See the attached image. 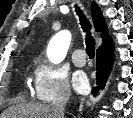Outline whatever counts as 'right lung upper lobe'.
Returning a JSON list of instances; mask_svg holds the SVG:
<instances>
[{
    "mask_svg": "<svg viewBox=\"0 0 133 118\" xmlns=\"http://www.w3.org/2000/svg\"><path fill=\"white\" fill-rule=\"evenodd\" d=\"M91 15H92L95 30L97 32L101 31V37L103 39L102 45L111 41V37L107 34L108 30L104 22V18L101 13V10L95 2H92L91 4Z\"/></svg>",
    "mask_w": 133,
    "mask_h": 118,
    "instance_id": "obj_1",
    "label": "right lung upper lobe"
}]
</instances>
